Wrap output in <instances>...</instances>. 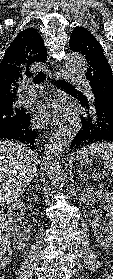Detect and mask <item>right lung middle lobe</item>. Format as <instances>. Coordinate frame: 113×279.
Here are the masks:
<instances>
[{"label":"right lung middle lobe","mask_w":113,"mask_h":279,"mask_svg":"<svg viewBox=\"0 0 113 279\" xmlns=\"http://www.w3.org/2000/svg\"><path fill=\"white\" fill-rule=\"evenodd\" d=\"M24 109H18L13 104L0 108V126L17 123L23 119Z\"/></svg>","instance_id":"dd1d6c3e"}]
</instances>
